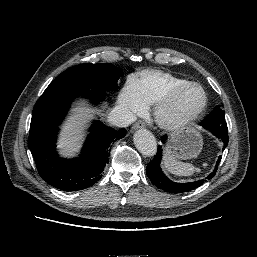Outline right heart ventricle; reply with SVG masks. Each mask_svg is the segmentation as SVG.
<instances>
[{"mask_svg": "<svg viewBox=\"0 0 257 257\" xmlns=\"http://www.w3.org/2000/svg\"><path fill=\"white\" fill-rule=\"evenodd\" d=\"M189 81L161 70H145L136 78L140 97L147 106L156 105L172 89Z\"/></svg>", "mask_w": 257, "mask_h": 257, "instance_id": "obj_1", "label": "right heart ventricle"}]
</instances>
